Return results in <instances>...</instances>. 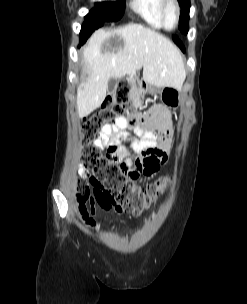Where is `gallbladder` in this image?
Returning <instances> with one entry per match:
<instances>
[{
    "mask_svg": "<svg viewBox=\"0 0 247 304\" xmlns=\"http://www.w3.org/2000/svg\"><path fill=\"white\" fill-rule=\"evenodd\" d=\"M117 84L118 80L116 78H110L107 86V93L112 94L115 91Z\"/></svg>",
    "mask_w": 247,
    "mask_h": 304,
    "instance_id": "1",
    "label": "gallbladder"
}]
</instances>
